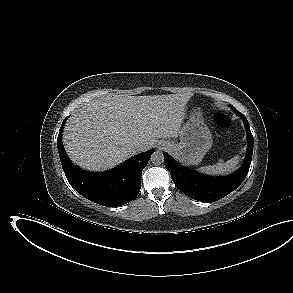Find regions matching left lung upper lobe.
I'll list each match as a JSON object with an SVG mask.
<instances>
[{"label": "left lung upper lobe", "mask_w": 293, "mask_h": 293, "mask_svg": "<svg viewBox=\"0 0 293 293\" xmlns=\"http://www.w3.org/2000/svg\"><path fill=\"white\" fill-rule=\"evenodd\" d=\"M230 107L234 110L235 113L239 112L238 110L235 109L234 106L230 105Z\"/></svg>", "instance_id": "1"}]
</instances>
